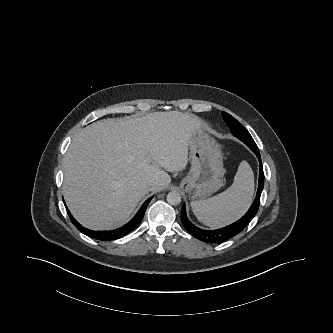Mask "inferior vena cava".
Here are the masks:
<instances>
[{
  "label": "inferior vena cava",
  "mask_w": 333,
  "mask_h": 333,
  "mask_svg": "<svg viewBox=\"0 0 333 333\" xmlns=\"http://www.w3.org/2000/svg\"><path fill=\"white\" fill-rule=\"evenodd\" d=\"M153 185H154V182H153V181H150V182H148V184H147L148 187H151V186H153Z\"/></svg>",
  "instance_id": "602c4592"
}]
</instances>
